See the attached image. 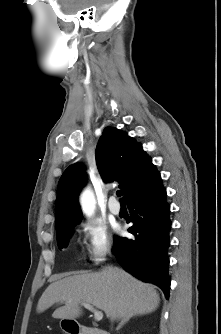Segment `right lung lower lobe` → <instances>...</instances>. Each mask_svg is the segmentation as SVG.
I'll return each instance as SVG.
<instances>
[{
  "label": "right lung lower lobe",
  "mask_w": 221,
  "mask_h": 334,
  "mask_svg": "<svg viewBox=\"0 0 221 334\" xmlns=\"http://www.w3.org/2000/svg\"><path fill=\"white\" fill-rule=\"evenodd\" d=\"M134 239L115 236L113 253L126 271L142 281L159 286L169 297L170 205L160 174L127 200Z\"/></svg>",
  "instance_id": "1"
}]
</instances>
